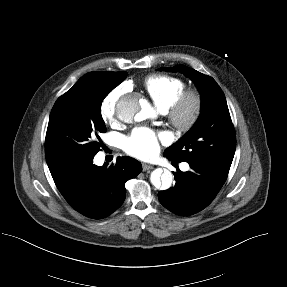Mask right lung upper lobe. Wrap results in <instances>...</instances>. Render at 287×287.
I'll return each instance as SVG.
<instances>
[{"instance_id": "obj_1", "label": "right lung upper lobe", "mask_w": 287, "mask_h": 287, "mask_svg": "<svg viewBox=\"0 0 287 287\" xmlns=\"http://www.w3.org/2000/svg\"><path fill=\"white\" fill-rule=\"evenodd\" d=\"M93 73V72H90ZM104 78L115 85H119L127 76L126 72H99ZM89 74V73H88ZM62 170L50 171L52 177L58 175Z\"/></svg>"}]
</instances>
